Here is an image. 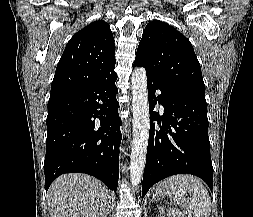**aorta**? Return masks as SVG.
Returning a JSON list of instances; mask_svg holds the SVG:
<instances>
[{
	"label": "aorta",
	"mask_w": 253,
	"mask_h": 217,
	"mask_svg": "<svg viewBox=\"0 0 253 217\" xmlns=\"http://www.w3.org/2000/svg\"><path fill=\"white\" fill-rule=\"evenodd\" d=\"M133 106V139L130 156V179L133 187L140 184L146 163L150 129L147 76L137 67L131 77Z\"/></svg>",
	"instance_id": "aorta-1"
}]
</instances>
